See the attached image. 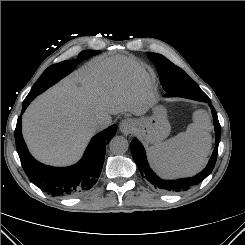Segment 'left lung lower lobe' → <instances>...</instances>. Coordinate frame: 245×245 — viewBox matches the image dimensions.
<instances>
[{
	"label": "left lung lower lobe",
	"mask_w": 245,
	"mask_h": 245,
	"mask_svg": "<svg viewBox=\"0 0 245 245\" xmlns=\"http://www.w3.org/2000/svg\"><path fill=\"white\" fill-rule=\"evenodd\" d=\"M188 85L189 84L187 83L183 89H176L167 92L165 96L167 97L180 96V97H185V98L209 103L213 115V120H214L216 140H215L214 151L212 153V156L206 168L192 178H184V179H178L172 181L162 180L149 167L146 159V152L142 144L136 138L133 139V141L130 144L132 156L134 158L136 165L139 168L142 177L145 176L147 180L155 186V188H159L162 191H166L170 193L186 191L192 188L193 186L197 185L198 183H200L212 172L218 155V145L221 137V126L219 124L216 110L211 105V101L209 97L199 88V86L195 88H188L187 87Z\"/></svg>",
	"instance_id": "obj_1"
}]
</instances>
